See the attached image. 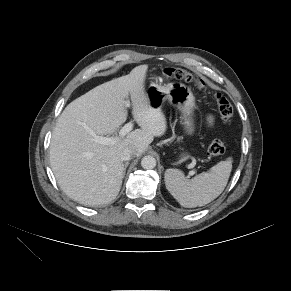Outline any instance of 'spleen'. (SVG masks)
Segmentation results:
<instances>
[{
    "mask_svg": "<svg viewBox=\"0 0 291 291\" xmlns=\"http://www.w3.org/2000/svg\"><path fill=\"white\" fill-rule=\"evenodd\" d=\"M232 170V159L228 158L188 180L177 169H167L165 185L178 203L187 208L204 206L216 199L227 185Z\"/></svg>",
    "mask_w": 291,
    "mask_h": 291,
    "instance_id": "1",
    "label": "spleen"
}]
</instances>
